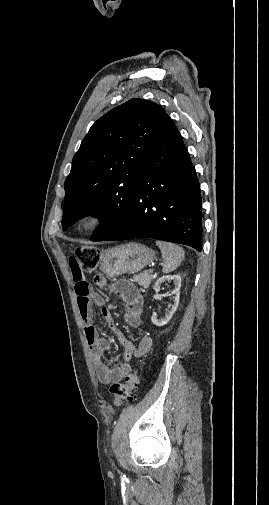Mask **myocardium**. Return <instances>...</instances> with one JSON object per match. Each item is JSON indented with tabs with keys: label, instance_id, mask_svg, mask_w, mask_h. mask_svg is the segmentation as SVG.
Listing matches in <instances>:
<instances>
[{
	"label": "myocardium",
	"instance_id": "obj_1",
	"mask_svg": "<svg viewBox=\"0 0 269 505\" xmlns=\"http://www.w3.org/2000/svg\"><path fill=\"white\" fill-rule=\"evenodd\" d=\"M104 221L105 213L100 209L92 208L83 211L79 215L76 225L80 231L89 233L99 228Z\"/></svg>",
	"mask_w": 269,
	"mask_h": 505
}]
</instances>
